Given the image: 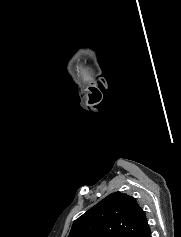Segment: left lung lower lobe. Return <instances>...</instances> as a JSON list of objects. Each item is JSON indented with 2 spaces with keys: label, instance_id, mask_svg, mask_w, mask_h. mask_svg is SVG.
<instances>
[{
  "label": "left lung lower lobe",
  "instance_id": "0a47b994",
  "mask_svg": "<svg viewBox=\"0 0 181 237\" xmlns=\"http://www.w3.org/2000/svg\"><path fill=\"white\" fill-rule=\"evenodd\" d=\"M140 237H152L149 226L144 230Z\"/></svg>",
  "mask_w": 181,
  "mask_h": 237
}]
</instances>
